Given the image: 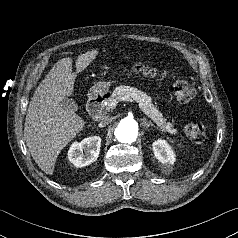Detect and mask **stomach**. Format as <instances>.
Instances as JSON below:
<instances>
[{
  "label": "stomach",
  "instance_id": "obj_1",
  "mask_svg": "<svg viewBox=\"0 0 238 238\" xmlns=\"http://www.w3.org/2000/svg\"><path fill=\"white\" fill-rule=\"evenodd\" d=\"M110 86H111L110 81H99L92 86V88L90 89V92L94 96H97V95L103 96L104 94L108 92Z\"/></svg>",
  "mask_w": 238,
  "mask_h": 238
}]
</instances>
